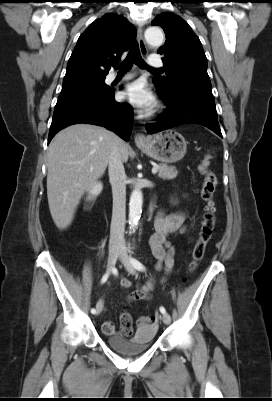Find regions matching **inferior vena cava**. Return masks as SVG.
Segmentation results:
<instances>
[{"label": "inferior vena cava", "mask_w": 272, "mask_h": 401, "mask_svg": "<svg viewBox=\"0 0 272 401\" xmlns=\"http://www.w3.org/2000/svg\"><path fill=\"white\" fill-rule=\"evenodd\" d=\"M108 173L113 194V210L109 242L110 245H120L124 242L127 177L117 145L112 147L108 163Z\"/></svg>", "instance_id": "1"}]
</instances>
